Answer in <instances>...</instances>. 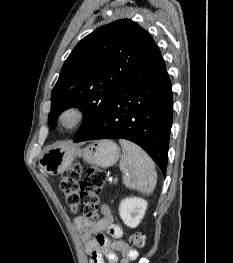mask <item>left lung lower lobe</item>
I'll list each match as a JSON object with an SVG mask.
<instances>
[{
  "instance_id": "1",
  "label": "left lung lower lobe",
  "mask_w": 233,
  "mask_h": 263,
  "mask_svg": "<svg viewBox=\"0 0 233 263\" xmlns=\"http://www.w3.org/2000/svg\"><path fill=\"white\" fill-rule=\"evenodd\" d=\"M172 117L171 81L160 50L153 42L97 124L80 141L130 140L141 146L166 175Z\"/></svg>"
}]
</instances>
